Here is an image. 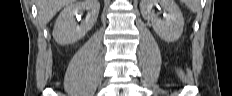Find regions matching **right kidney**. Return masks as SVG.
Instances as JSON below:
<instances>
[{"instance_id":"obj_1","label":"right kidney","mask_w":232,"mask_h":96,"mask_svg":"<svg viewBox=\"0 0 232 96\" xmlns=\"http://www.w3.org/2000/svg\"><path fill=\"white\" fill-rule=\"evenodd\" d=\"M100 4L98 0H83L66 5L56 19L53 30V37L58 44L65 45L74 43L85 36V34L95 24ZM84 11H88L86 18L80 25L75 21V17H81Z\"/></svg>"}]
</instances>
